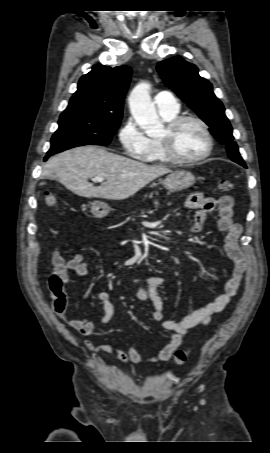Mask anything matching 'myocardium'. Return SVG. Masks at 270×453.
I'll return each mask as SVG.
<instances>
[{
	"label": "myocardium",
	"instance_id": "1",
	"mask_svg": "<svg viewBox=\"0 0 270 453\" xmlns=\"http://www.w3.org/2000/svg\"><path fill=\"white\" fill-rule=\"evenodd\" d=\"M185 122H195L197 123L203 130V133L206 138V149L197 157L194 158H182L175 154L173 147H172V138L176 130ZM166 135L158 139L159 145L164 156L174 164H195L204 159H206L213 150V136L210 131L208 124L201 118L193 115H181L175 116L171 120L167 122L166 125Z\"/></svg>",
	"mask_w": 270,
	"mask_h": 453
}]
</instances>
